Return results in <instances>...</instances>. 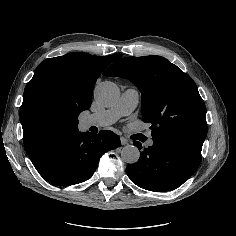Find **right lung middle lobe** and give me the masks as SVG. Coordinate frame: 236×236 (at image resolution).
I'll use <instances>...</instances> for the list:
<instances>
[{
	"instance_id": "obj_1",
	"label": "right lung middle lobe",
	"mask_w": 236,
	"mask_h": 236,
	"mask_svg": "<svg viewBox=\"0 0 236 236\" xmlns=\"http://www.w3.org/2000/svg\"><path fill=\"white\" fill-rule=\"evenodd\" d=\"M78 115L66 99L50 90L35 91L20 110V118L30 134L43 140L78 129Z\"/></svg>"
}]
</instances>
